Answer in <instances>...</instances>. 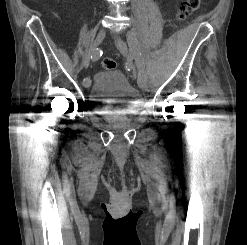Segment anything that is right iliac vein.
Listing matches in <instances>:
<instances>
[{"label":"right iliac vein","mask_w":247,"mask_h":245,"mask_svg":"<svg viewBox=\"0 0 247 245\" xmlns=\"http://www.w3.org/2000/svg\"><path fill=\"white\" fill-rule=\"evenodd\" d=\"M105 36H106V30H105V29H101V30L98 32V34H97V36H96V38H95V40H94V42H93L92 51L95 50L96 48H98V46H99V45L102 43V41L104 40ZM91 62H92L93 64H96V63L98 62V57H91ZM86 67H87V66H86ZM90 85H91V80H90L89 78H84V80H83V86H84L85 88H88V87H90Z\"/></svg>","instance_id":"obj_1"}]
</instances>
